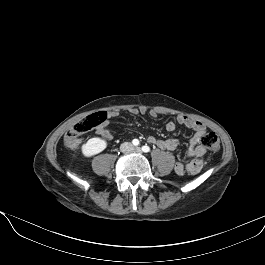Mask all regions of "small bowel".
<instances>
[{
	"label": "small bowel",
	"instance_id": "obj_1",
	"mask_svg": "<svg viewBox=\"0 0 265 265\" xmlns=\"http://www.w3.org/2000/svg\"><path fill=\"white\" fill-rule=\"evenodd\" d=\"M129 112L133 115H136L138 113L145 114L147 112V109L145 107H141L139 109L132 108L129 110ZM149 114L153 118L157 117V112L154 110H151ZM106 115L108 118H114L118 116V112L111 111ZM177 124L184 125L187 128L193 130L194 135L189 142V147L186 152V155L190 158V161L188 163L176 162L174 170L178 175H183L184 173L193 175L198 174L203 167V157L206 153L204 147L201 145V138L206 133V127L199 120H195L185 115H179L174 121H170L166 124V130L169 132L174 131L177 127ZM96 133L105 140H112L113 138L108 128L107 120L99 125V127L96 129ZM149 140L151 143L156 144L159 148L164 150H175L180 146V141L174 138L158 139L151 137Z\"/></svg>",
	"mask_w": 265,
	"mask_h": 265
}]
</instances>
